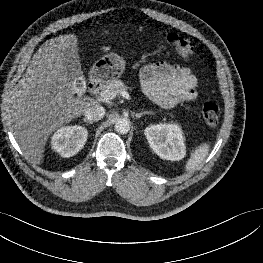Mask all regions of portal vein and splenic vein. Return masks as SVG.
Here are the masks:
<instances>
[{
	"instance_id": "portal-vein-and-splenic-vein-1",
	"label": "portal vein and splenic vein",
	"mask_w": 263,
	"mask_h": 263,
	"mask_svg": "<svg viewBox=\"0 0 263 263\" xmlns=\"http://www.w3.org/2000/svg\"><path fill=\"white\" fill-rule=\"evenodd\" d=\"M119 94L127 100L130 99V95L127 91H120ZM100 95L103 98V100H111L117 95V93L106 89L101 91Z\"/></svg>"
}]
</instances>
